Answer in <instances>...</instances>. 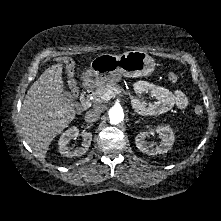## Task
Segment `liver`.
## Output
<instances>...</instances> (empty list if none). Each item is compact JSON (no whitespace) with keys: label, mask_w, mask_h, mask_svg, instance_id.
Wrapping results in <instances>:
<instances>
[{"label":"liver","mask_w":221,"mask_h":221,"mask_svg":"<svg viewBox=\"0 0 221 221\" xmlns=\"http://www.w3.org/2000/svg\"><path fill=\"white\" fill-rule=\"evenodd\" d=\"M63 64L46 69L32 84L21 109L25 141L44 159L52 140L73 121L76 111L64 95Z\"/></svg>","instance_id":"liver-1"}]
</instances>
